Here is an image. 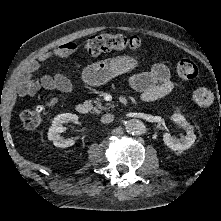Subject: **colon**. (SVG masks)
I'll list each match as a JSON object with an SVG mask.
<instances>
[{"instance_id": "1", "label": "colon", "mask_w": 221, "mask_h": 221, "mask_svg": "<svg viewBox=\"0 0 221 221\" xmlns=\"http://www.w3.org/2000/svg\"><path fill=\"white\" fill-rule=\"evenodd\" d=\"M142 42L138 37L125 36L122 34H99L89 38L83 45V54L90 56H97L106 54L112 51L131 50L136 51L140 49ZM176 71L178 76L183 80H192L198 76L199 69L195 62L190 59H183L178 62ZM193 100L201 106L210 105L214 96L212 92L203 87L195 88L192 92ZM45 106H38L32 110H25L21 114L22 124L26 128L38 127L46 114Z\"/></svg>"}]
</instances>
